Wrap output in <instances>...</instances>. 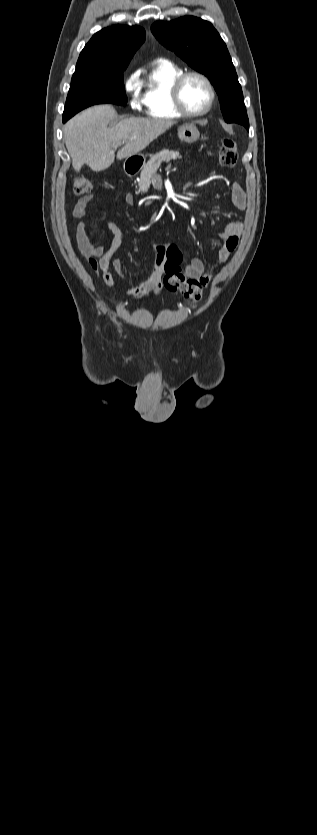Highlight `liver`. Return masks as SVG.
Here are the masks:
<instances>
[{
  "label": "liver",
  "instance_id": "1",
  "mask_svg": "<svg viewBox=\"0 0 317 835\" xmlns=\"http://www.w3.org/2000/svg\"><path fill=\"white\" fill-rule=\"evenodd\" d=\"M116 118L112 106L98 105L65 124L64 140L75 170L87 164L94 171H102L114 162L115 147L124 144L117 152L119 160L136 155L175 124L163 119L126 118L108 126Z\"/></svg>",
  "mask_w": 317,
  "mask_h": 835
}]
</instances>
